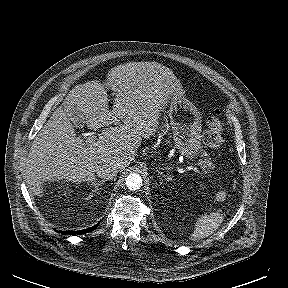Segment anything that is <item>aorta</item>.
Wrapping results in <instances>:
<instances>
[{
	"label": "aorta",
	"instance_id": "aorta-1",
	"mask_svg": "<svg viewBox=\"0 0 288 288\" xmlns=\"http://www.w3.org/2000/svg\"><path fill=\"white\" fill-rule=\"evenodd\" d=\"M126 187L129 190L135 191L140 189V187L142 186V177L139 174H130L127 176L126 178Z\"/></svg>",
	"mask_w": 288,
	"mask_h": 288
}]
</instances>
